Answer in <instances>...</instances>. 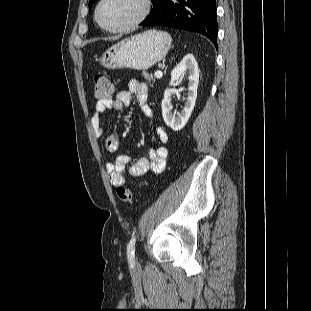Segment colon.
<instances>
[{"instance_id":"1","label":"colon","mask_w":311,"mask_h":311,"mask_svg":"<svg viewBox=\"0 0 311 311\" xmlns=\"http://www.w3.org/2000/svg\"><path fill=\"white\" fill-rule=\"evenodd\" d=\"M93 93L98 100L110 99L113 93V85L104 71L95 74L93 79ZM120 201L126 204L133 202V193L130 189L119 186L116 190Z\"/></svg>"}]
</instances>
